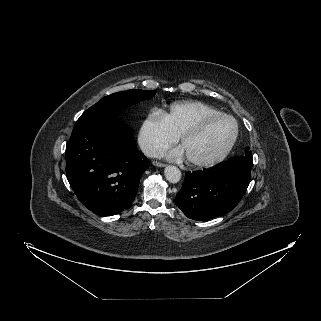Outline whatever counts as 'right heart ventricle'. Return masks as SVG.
Segmentation results:
<instances>
[{
    "instance_id": "e07e8e85",
    "label": "right heart ventricle",
    "mask_w": 321,
    "mask_h": 321,
    "mask_svg": "<svg viewBox=\"0 0 321 321\" xmlns=\"http://www.w3.org/2000/svg\"><path fill=\"white\" fill-rule=\"evenodd\" d=\"M221 113L215 107L200 101L174 103L168 111L161 113L167 129L176 137L201 118Z\"/></svg>"
}]
</instances>
